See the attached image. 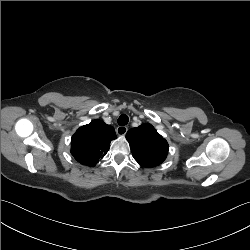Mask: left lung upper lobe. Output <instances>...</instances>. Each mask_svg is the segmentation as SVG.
<instances>
[{
  "instance_id": "obj_1",
  "label": "left lung upper lobe",
  "mask_w": 250,
  "mask_h": 250,
  "mask_svg": "<svg viewBox=\"0 0 250 250\" xmlns=\"http://www.w3.org/2000/svg\"><path fill=\"white\" fill-rule=\"evenodd\" d=\"M126 139L134 159L143 167L157 166L167 156L168 143L151 124L128 130Z\"/></svg>"
}]
</instances>
